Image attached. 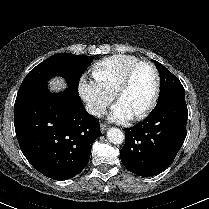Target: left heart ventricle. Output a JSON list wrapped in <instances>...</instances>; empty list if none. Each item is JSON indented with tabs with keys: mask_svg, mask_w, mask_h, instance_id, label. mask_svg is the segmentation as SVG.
Listing matches in <instances>:
<instances>
[{
	"mask_svg": "<svg viewBox=\"0 0 209 209\" xmlns=\"http://www.w3.org/2000/svg\"><path fill=\"white\" fill-rule=\"evenodd\" d=\"M154 86L152 69L148 65H141L135 71L130 85L119 97L118 103L135 115L151 100Z\"/></svg>",
	"mask_w": 209,
	"mask_h": 209,
	"instance_id": "obj_1",
	"label": "left heart ventricle"
}]
</instances>
